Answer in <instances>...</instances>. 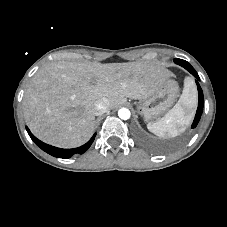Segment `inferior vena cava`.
Here are the masks:
<instances>
[{
  "label": "inferior vena cava",
  "mask_w": 227,
  "mask_h": 227,
  "mask_svg": "<svg viewBox=\"0 0 227 227\" xmlns=\"http://www.w3.org/2000/svg\"><path fill=\"white\" fill-rule=\"evenodd\" d=\"M111 103L107 98H101L95 102L94 115L98 116L106 113L110 109Z\"/></svg>",
  "instance_id": "inferior-vena-cava-1"
}]
</instances>
